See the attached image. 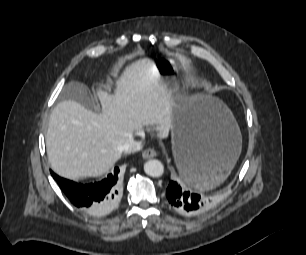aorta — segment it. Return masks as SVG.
<instances>
[{
	"instance_id": "762f6f07",
	"label": "aorta",
	"mask_w": 306,
	"mask_h": 255,
	"mask_svg": "<svg viewBox=\"0 0 306 255\" xmlns=\"http://www.w3.org/2000/svg\"><path fill=\"white\" fill-rule=\"evenodd\" d=\"M144 171L151 177H160L164 173V166L161 161L151 159L144 164Z\"/></svg>"
}]
</instances>
